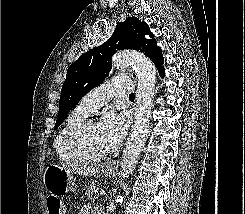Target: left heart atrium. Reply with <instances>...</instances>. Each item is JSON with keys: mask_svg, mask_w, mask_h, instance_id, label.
<instances>
[{"mask_svg": "<svg viewBox=\"0 0 245 214\" xmlns=\"http://www.w3.org/2000/svg\"><path fill=\"white\" fill-rule=\"evenodd\" d=\"M126 121L123 116L107 114L97 125L99 135L107 150L116 148L126 133Z\"/></svg>", "mask_w": 245, "mask_h": 214, "instance_id": "1", "label": "left heart atrium"}]
</instances>
